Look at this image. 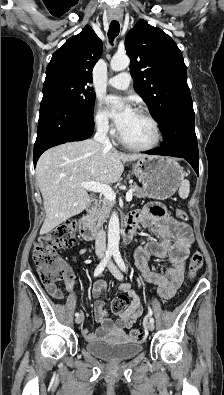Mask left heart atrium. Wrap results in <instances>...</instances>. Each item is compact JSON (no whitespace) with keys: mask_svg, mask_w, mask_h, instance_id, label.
Masks as SVG:
<instances>
[{"mask_svg":"<svg viewBox=\"0 0 224 395\" xmlns=\"http://www.w3.org/2000/svg\"><path fill=\"white\" fill-rule=\"evenodd\" d=\"M105 104L119 131L124 128L128 120L135 113L132 105L118 96H107L105 98Z\"/></svg>","mask_w":224,"mask_h":395,"instance_id":"39dd6f15","label":"left heart atrium"}]
</instances>
